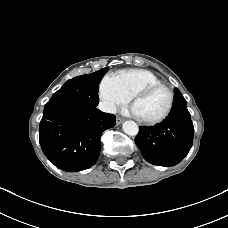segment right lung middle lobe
Wrapping results in <instances>:
<instances>
[{
    "label": "right lung middle lobe",
    "instance_id": "dd1d6c3e",
    "mask_svg": "<svg viewBox=\"0 0 228 228\" xmlns=\"http://www.w3.org/2000/svg\"><path fill=\"white\" fill-rule=\"evenodd\" d=\"M107 71L108 68H103L68 80L53 94L49 102H62L77 108H95L99 102V83Z\"/></svg>",
    "mask_w": 228,
    "mask_h": 228
}]
</instances>
